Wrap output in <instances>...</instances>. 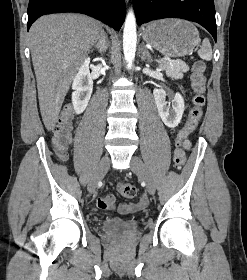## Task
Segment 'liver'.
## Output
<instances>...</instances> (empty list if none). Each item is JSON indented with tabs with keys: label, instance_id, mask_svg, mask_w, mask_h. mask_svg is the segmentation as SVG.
I'll return each mask as SVG.
<instances>
[{
	"label": "liver",
	"instance_id": "6515ba94",
	"mask_svg": "<svg viewBox=\"0 0 247 280\" xmlns=\"http://www.w3.org/2000/svg\"><path fill=\"white\" fill-rule=\"evenodd\" d=\"M102 33L99 21L79 14L45 15L31 26V56L47 130L55 127L71 81Z\"/></svg>",
	"mask_w": 247,
	"mask_h": 280
}]
</instances>
